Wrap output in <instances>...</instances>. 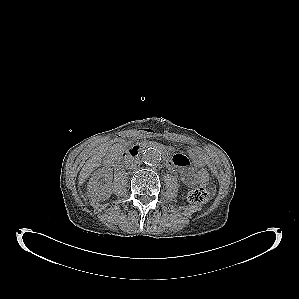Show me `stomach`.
<instances>
[{
	"mask_svg": "<svg viewBox=\"0 0 299 299\" xmlns=\"http://www.w3.org/2000/svg\"><path fill=\"white\" fill-rule=\"evenodd\" d=\"M197 156H196V158H197V161H199V159H200V155L199 154H196Z\"/></svg>",
	"mask_w": 299,
	"mask_h": 299,
	"instance_id": "stomach-1",
	"label": "stomach"
}]
</instances>
